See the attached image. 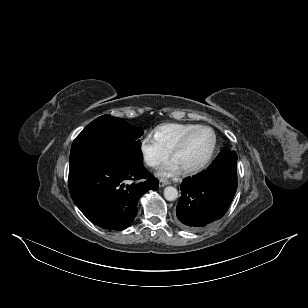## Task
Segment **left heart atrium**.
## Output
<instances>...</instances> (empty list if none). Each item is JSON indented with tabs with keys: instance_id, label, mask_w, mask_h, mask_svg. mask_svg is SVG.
<instances>
[{
	"instance_id": "39dd6f15",
	"label": "left heart atrium",
	"mask_w": 308,
	"mask_h": 308,
	"mask_svg": "<svg viewBox=\"0 0 308 308\" xmlns=\"http://www.w3.org/2000/svg\"><path fill=\"white\" fill-rule=\"evenodd\" d=\"M181 170L179 164L172 159L158 169L157 175L160 177H171L178 174Z\"/></svg>"
}]
</instances>
